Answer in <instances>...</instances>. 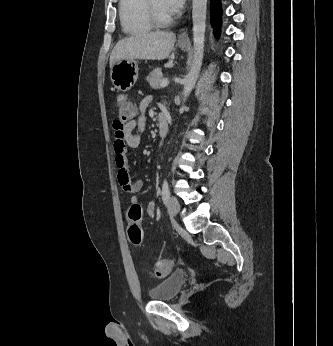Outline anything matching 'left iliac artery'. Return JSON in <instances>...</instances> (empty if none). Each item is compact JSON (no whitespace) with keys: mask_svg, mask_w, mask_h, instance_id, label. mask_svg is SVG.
I'll use <instances>...</instances> for the list:
<instances>
[{"mask_svg":"<svg viewBox=\"0 0 333 346\" xmlns=\"http://www.w3.org/2000/svg\"><path fill=\"white\" fill-rule=\"evenodd\" d=\"M170 198V190H169V184L166 179H164L162 184V199L163 202L166 204Z\"/></svg>","mask_w":333,"mask_h":346,"instance_id":"left-iliac-artery-1","label":"left iliac artery"}]
</instances>
